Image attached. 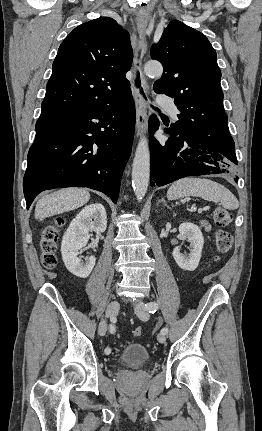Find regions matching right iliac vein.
Returning <instances> with one entry per match:
<instances>
[{"label": "right iliac vein", "mask_w": 262, "mask_h": 431, "mask_svg": "<svg viewBox=\"0 0 262 431\" xmlns=\"http://www.w3.org/2000/svg\"><path fill=\"white\" fill-rule=\"evenodd\" d=\"M119 307H120V304L117 300L111 301L106 308L105 317L106 318L114 317L117 314ZM106 318L101 320L99 325H98V333L101 336H104L106 334V331H107V320H106Z\"/></svg>", "instance_id": "1"}]
</instances>
